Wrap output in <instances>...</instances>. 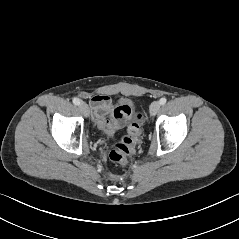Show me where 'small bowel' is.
<instances>
[{"instance_id":"obj_1","label":"small bowel","mask_w":239,"mask_h":239,"mask_svg":"<svg viewBox=\"0 0 239 239\" xmlns=\"http://www.w3.org/2000/svg\"><path fill=\"white\" fill-rule=\"evenodd\" d=\"M91 116L98 128L107 136L120 130L131 118L133 109L127 103L118 106L112 104L111 98L105 94H98L90 99Z\"/></svg>"}]
</instances>
